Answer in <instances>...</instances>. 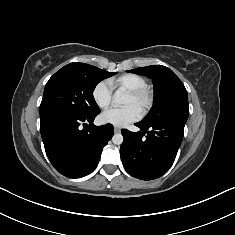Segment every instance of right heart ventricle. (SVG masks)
I'll return each instance as SVG.
<instances>
[{"label": "right heart ventricle", "instance_id": "right-heart-ventricle-1", "mask_svg": "<svg viewBox=\"0 0 235 235\" xmlns=\"http://www.w3.org/2000/svg\"><path fill=\"white\" fill-rule=\"evenodd\" d=\"M109 83L111 87L114 89L117 90L123 89L126 91L147 86L145 78L134 73H126L120 75L116 78L109 80Z\"/></svg>", "mask_w": 235, "mask_h": 235}]
</instances>
